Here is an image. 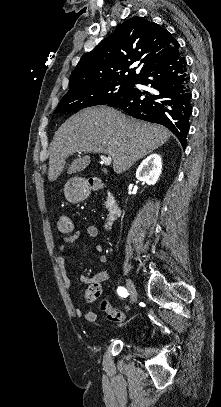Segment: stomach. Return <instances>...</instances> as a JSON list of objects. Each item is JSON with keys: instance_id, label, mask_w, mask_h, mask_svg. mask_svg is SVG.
<instances>
[{"instance_id": "stomach-1", "label": "stomach", "mask_w": 221, "mask_h": 407, "mask_svg": "<svg viewBox=\"0 0 221 407\" xmlns=\"http://www.w3.org/2000/svg\"><path fill=\"white\" fill-rule=\"evenodd\" d=\"M89 194L88 185L83 178H72L64 186L65 198L73 204L82 202Z\"/></svg>"}]
</instances>
